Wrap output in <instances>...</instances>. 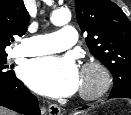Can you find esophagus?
Returning a JSON list of instances; mask_svg holds the SVG:
<instances>
[{
    "instance_id": "1",
    "label": "esophagus",
    "mask_w": 131,
    "mask_h": 115,
    "mask_svg": "<svg viewBox=\"0 0 131 115\" xmlns=\"http://www.w3.org/2000/svg\"><path fill=\"white\" fill-rule=\"evenodd\" d=\"M48 113L49 115H60L61 114L60 107L54 103H51L48 106Z\"/></svg>"
}]
</instances>
